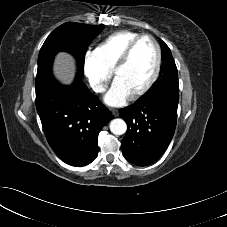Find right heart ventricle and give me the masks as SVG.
I'll return each mask as SVG.
<instances>
[{
	"mask_svg": "<svg viewBox=\"0 0 227 227\" xmlns=\"http://www.w3.org/2000/svg\"><path fill=\"white\" fill-rule=\"evenodd\" d=\"M141 34L131 30H120L108 35L95 48L94 53L103 66L112 71L127 46Z\"/></svg>",
	"mask_w": 227,
	"mask_h": 227,
	"instance_id": "obj_1",
	"label": "right heart ventricle"
}]
</instances>
